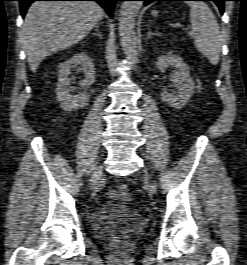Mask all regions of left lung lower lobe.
<instances>
[{"label":"left lung lower lobe","mask_w":247,"mask_h":265,"mask_svg":"<svg viewBox=\"0 0 247 265\" xmlns=\"http://www.w3.org/2000/svg\"><path fill=\"white\" fill-rule=\"evenodd\" d=\"M145 1V5H148L154 1H189V0H140ZM202 1H213L219 7L220 13L223 14L224 12V2L228 0H202Z\"/></svg>","instance_id":"1"}]
</instances>
